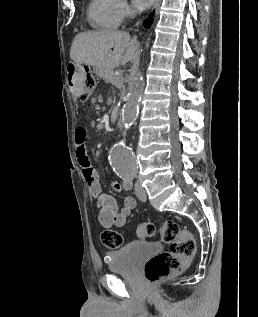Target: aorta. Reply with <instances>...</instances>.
<instances>
[{
    "label": "aorta",
    "instance_id": "aorta-1",
    "mask_svg": "<svg viewBox=\"0 0 258 317\" xmlns=\"http://www.w3.org/2000/svg\"><path fill=\"white\" fill-rule=\"evenodd\" d=\"M139 111V96L128 94V101L122 108V124L124 131L128 130L136 121ZM111 165L116 174L123 179L133 178L138 171V162L131 148L124 142L115 145L111 153Z\"/></svg>",
    "mask_w": 258,
    "mask_h": 317
}]
</instances>
